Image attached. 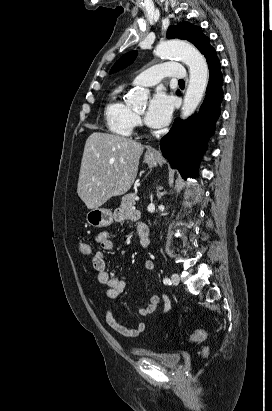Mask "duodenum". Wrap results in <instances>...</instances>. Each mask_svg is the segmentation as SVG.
Returning <instances> with one entry per match:
<instances>
[{
    "mask_svg": "<svg viewBox=\"0 0 272 411\" xmlns=\"http://www.w3.org/2000/svg\"><path fill=\"white\" fill-rule=\"evenodd\" d=\"M137 234L139 237V244L143 250H148L150 247V233L148 226L144 223H138Z\"/></svg>",
    "mask_w": 272,
    "mask_h": 411,
    "instance_id": "410a0bca",
    "label": "duodenum"
}]
</instances>
